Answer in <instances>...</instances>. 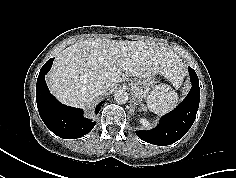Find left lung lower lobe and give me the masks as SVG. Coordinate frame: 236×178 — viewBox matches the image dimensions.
Returning <instances> with one entry per match:
<instances>
[{"label":"left lung lower lobe","mask_w":236,"mask_h":178,"mask_svg":"<svg viewBox=\"0 0 236 178\" xmlns=\"http://www.w3.org/2000/svg\"><path fill=\"white\" fill-rule=\"evenodd\" d=\"M192 88L184 101L173 111L161 118L158 126L149 131H136V134L151 144L165 146L181 139L192 126L199 107L200 87L195 71L188 67Z\"/></svg>","instance_id":"1"}]
</instances>
